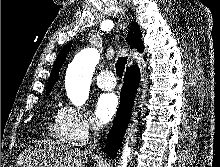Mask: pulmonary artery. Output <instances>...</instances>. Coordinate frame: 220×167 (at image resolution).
<instances>
[{
  "instance_id": "pulmonary-artery-1",
  "label": "pulmonary artery",
  "mask_w": 220,
  "mask_h": 167,
  "mask_svg": "<svg viewBox=\"0 0 220 167\" xmlns=\"http://www.w3.org/2000/svg\"><path fill=\"white\" fill-rule=\"evenodd\" d=\"M96 84L103 90H112L116 86V80L113 72L102 71L96 76Z\"/></svg>"
}]
</instances>
